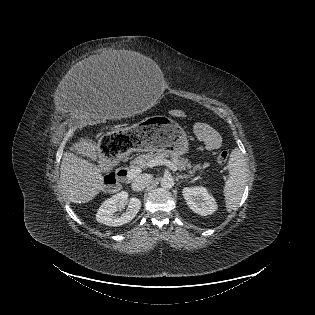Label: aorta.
<instances>
[{"label":"aorta","mask_w":315,"mask_h":315,"mask_svg":"<svg viewBox=\"0 0 315 315\" xmlns=\"http://www.w3.org/2000/svg\"><path fill=\"white\" fill-rule=\"evenodd\" d=\"M174 184V178L171 175H164L161 179V186L163 188L171 189Z\"/></svg>","instance_id":"762f6f07"}]
</instances>
